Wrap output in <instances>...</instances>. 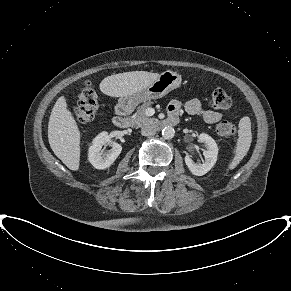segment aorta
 I'll use <instances>...</instances> for the list:
<instances>
[{
  "label": "aorta",
  "instance_id": "aorta-1",
  "mask_svg": "<svg viewBox=\"0 0 291 291\" xmlns=\"http://www.w3.org/2000/svg\"><path fill=\"white\" fill-rule=\"evenodd\" d=\"M175 135V130L174 128L170 127V126H167V127H164L163 130H162V136L165 138V139H172Z\"/></svg>",
  "mask_w": 291,
  "mask_h": 291
}]
</instances>
